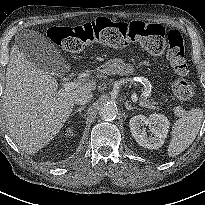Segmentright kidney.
Instances as JSON below:
<instances>
[{
    "label": "right kidney",
    "instance_id": "obj_1",
    "mask_svg": "<svg viewBox=\"0 0 205 205\" xmlns=\"http://www.w3.org/2000/svg\"><path fill=\"white\" fill-rule=\"evenodd\" d=\"M66 132H67L66 135H73L72 130L70 128H68Z\"/></svg>",
    "mask_w": 205,
    "mask_h": 205
}]
</instances>
